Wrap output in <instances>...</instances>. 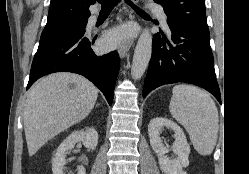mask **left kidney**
<instances>
[{"label": "left kidney", "instance_id": "5707ae66", "mask_svg": "<svg viewBox=\"0 0 249 174\" xmlns=\"http://www.w3.org/2000/svg\"><path fill=\"white\" fill-rule=\"evenodd\" d=\"M163 127L170 128L174 131L175 141L172 145V151L177 156L175 159H171L166 155L170 150L163 145L160 137V132ZM148 134L150 145L158 157L162 172L165 174H186L183 168L189 165L188 157L190 154V146L180 126L167 118L157 117L150 121Z\"/></svg>", "mask_w": 249, "mask_h": 174}]
</instances>
